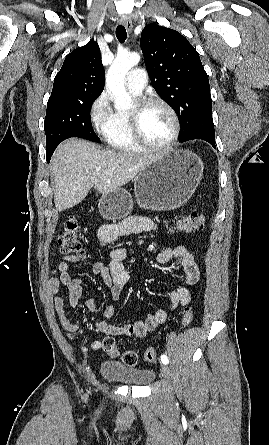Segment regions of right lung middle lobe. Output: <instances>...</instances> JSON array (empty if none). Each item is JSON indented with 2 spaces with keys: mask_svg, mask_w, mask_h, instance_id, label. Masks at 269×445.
<instances>
[{
  "mask_svg": "<svg viewBox=\"0 0 269 445\" xmlns=\"http://www.w3.org/2000/svg\"><path fill=\"white\" fill-rule=\"evenodd\" d=\"M98 96L49 98L45 117L46 157L49 161L56 147L70 137L100 142L90 121V109Z\"/></svg>",
  "mask_w": 269,
  "mask_h": 445,
  "instance_id": "dd1d6c3e",
  "label": "right lung middle lobe"
}]
</instances>
